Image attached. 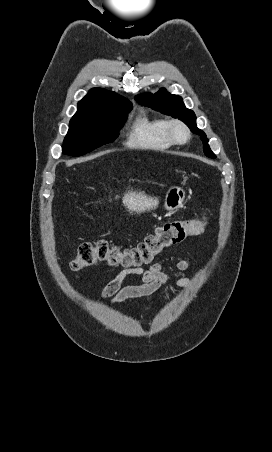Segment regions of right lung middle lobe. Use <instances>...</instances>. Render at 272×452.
I'll return each instance as SVG.
<instances>
[{"mask_svg":"<svg viewBox=\"0 0 272 452\" xmlns=\"http://www.w3.org/2000/svg\"><path fill=\"white\" fill-rule=\"evenodd\" d=\"M131 109V104H123L90 118L70 121L69 131L63 141V154L81 156L113 142Z\"/></svg>","mask_w":272,"mask_h":452,"instance_id":"right-lung-middle-lobe-1","label":"right lung middle lobe"}]
</instances>
